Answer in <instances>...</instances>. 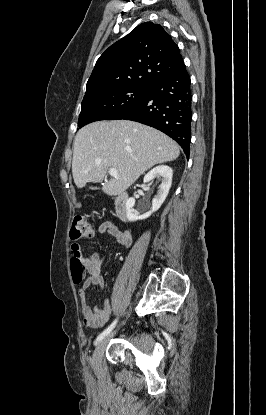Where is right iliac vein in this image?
<instances>
[{"label": "right iliac vein", "mask_w": 266, "mask_h": 415, "mask_svg": "<svg viewBox=\"0 0 266 415\" xmlns=\"http://www.w3.org/2000/svg\"><path fill=\"white\" fill-rule=\"evenodd\" d=\"M113 335L114 333H111L110 335H108L107 337H104L102 340H100L97 343L96 348L93 353V357H92V366L94 367V369H99L101 367V362H102L105 348L107 346L109 339Z\"/></svg>", "instance_id": "right-iliac-vein-1"}]
</instances>
